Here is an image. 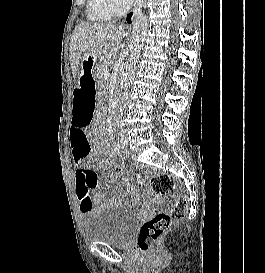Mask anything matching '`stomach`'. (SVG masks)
<instances>
[{"instance_id": "0dacf381", "label": "stomach", "mask_w": 265, "mask_h": 273, "mask_svg": "<svg viewBox=\"0 0 265 273\" xmlns=\"http://www.w3.org/2000/svg\"><path fill=\"white\" fill-rule=\"evenodd\" d=\"M97 58L98 56L95 54H87V57L82 61L79 85H76V90H96L95 68L98 65Z\"/></svg>"}]
</instances>
